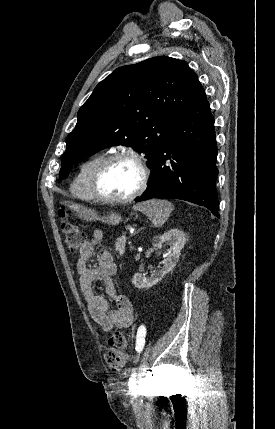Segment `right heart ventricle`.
<instances>
[{
  "label": "right heart ventricle",
  "mask_w": 275,
  "mask_h": 429,
  "mask_svg": "<svg viewBox=\"0 0 275 429\" xmlns=\"http://www.w3.org/2000/svg\"><path fill=\"white\" fill-rule=\"evenodd\" d=\"M105 157L104 153H99L81 164L71 183V192L76 197L83 201L95 200L90 189V180L95 168Z\"/></svg>",
  "instance_id": "obj_1"
}]
</instances>
